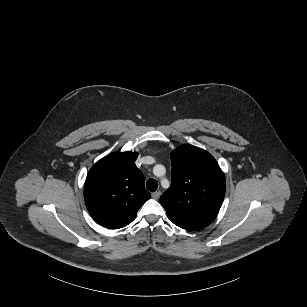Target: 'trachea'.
Listing matches in <instances>:
<instances>
[{
	"label": "trachea",
	"instance_id": "3493384b",
	"mask_svg": "<svg viewBox=\"0 0 307 307\" xmlns=\"http://www.w3.org/2000/svg\"><path fill=\"white\" fill-rule=\"evenodd\" d=\"M146 187L149 191L154 192L157 190L158 183L154 179H149L146 183Z\"/></svg>",
	"mask_w": 307,
	"mask_h": 307
}]
</instances>
